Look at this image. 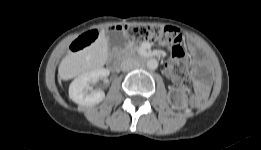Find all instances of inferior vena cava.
<instances>
[{"mask_svg":"<svg viewBox=\"0 0 261 150\" xmlns=\"http://www.w3.org/2000/svg\"><path fill=\"white\" fill-rule=\"evenodd\" d=\"M138 66L139 64L134 58H126L121 63V68L123 71H129L137 68Z\"/></svg>","mask_w":261,"mask_h":150,"instance_id":"602c4592","label":"inferior vena cava"}]
</instances>
